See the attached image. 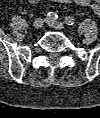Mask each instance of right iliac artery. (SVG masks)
<instances>
[{
  "mask_svg": "<svg viewBox=\"0 0 100 118\" xmlns=\"http://www.w3.org/2000/svg\"><path fill=\"white\" fill-rule=\"evenodd\" d=\"M58 18V15L55 12H48L46 15L47 20H56Z\"/></svg>",
  "mask_w": 100,
  "mask_h": 118,
  "instance_id": "right-iliac-artery-1",
  "label": "right iliac artery"
}]
</instances>
